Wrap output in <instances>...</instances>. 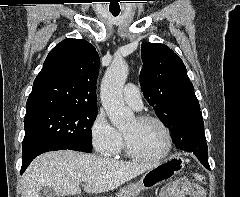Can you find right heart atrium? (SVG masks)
<instances>
[{"mask_svg":"<svg viewBox=\"0 0 240 197\" xmlns=\"http://www.w3.org/2000/svg\"><path fill=\"white\" fill-rule=\"evenodd\" d=\"M89 137L93 149L103 156H112L122 141L121 134L110 124L103 111L93 118Z\"/></svg>","mask_w":240,"mask_h":197,"instance_id":"right-heart-atrium-1","label":"right heart atrium"}]
</instances>
